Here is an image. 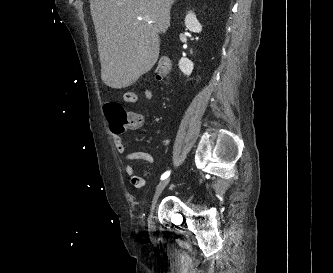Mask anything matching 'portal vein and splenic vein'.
<instances>
[{
    "instance_id": "portal-vein-and-splenic-vein-1",
    "label": "portal vein and splenic vein",
    "mask_w": 333,
    "mask_h": 273,
    "mask_svg": "<svg viewBox=\"0 0 333 273\" xmlns=\"http://www.w3.org/2000/svg\"><path fill=\"white\" fill-rule=\"evenodd\" d=\"M146 20H148L149 23H152V21H150L149 17H146Z\"/></svg>"
}]
</instances>
